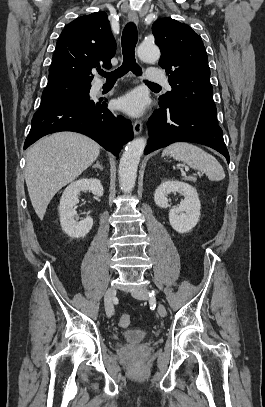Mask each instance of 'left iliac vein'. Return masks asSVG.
Here are the masks:
<instances>
[{
	"instance_id": "obj_1",
	"label": "left iliac vein",
	"mask_w": 265,
	"mask_h": 407,
	"mask_svg": "<svg viewBox=\"0 0 265 407\" xmlns=\"http://www.w3.org/2000/svg\"><path fill=\"white\" fill-rule=\"evenodd\" d=\"M132 296L135 297L136 299H140V300H148L150 298L149 293H148L147 289H145V288H138V289L134 290L132 292ZM157 311L161 317H165L167 314L165 306L161 303H158Z\"/></svg>"
}]
</instances>
